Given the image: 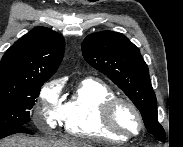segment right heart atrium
<instances>
[{
    "label": "right heart atrium",
    "mask_w": 183,
    "mask_h": 147,
    "mask_svg": "<svg viewBox=\"0 0 183 147\" xmlns=\"http://www.w3.org/2000/svg\"><path fill=\"white\" fill-rule=\"evenodd\" d=\"M62 84L53 80L47 82L40 90L36 120L46 126L55 128L63 120L64 103L61 99Z\"/></svg>",
    "instance_id": "d8ad5b80"
}]
</instances>
